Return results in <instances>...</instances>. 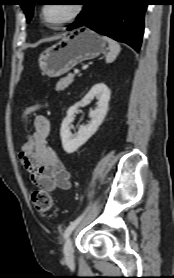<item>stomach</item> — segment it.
<instances>
[{"instance_id":"obj_1","label":"stomach","mask_w":174,"mask_h":278,"mask_svg":"<svg viewBox=\"0 0 174 278\" xmlns=\"http://www.w3.org/2000/svg\"><path fill=\"white\" fill-rule=\"evenodd\" d=\"M105 47L97 33L80 29L42 52L38 58L39 67L44 75L59 77L77 64L97 57Z\"/></svg>"}]
</instances>
